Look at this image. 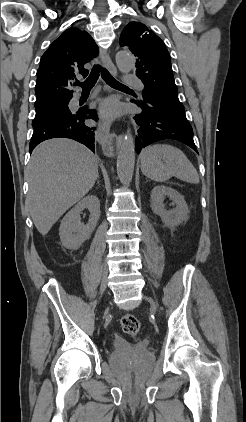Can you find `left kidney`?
Segmentation results:
<instances>
[{"instance_id":"1","label":"left kidney","mask_w":246,"mask_h":422,"mask_svg":"<svg viewBox=\"0 0 246 422\" xmlns=\"http://www.w3.org/2000/svg\"><path fill=\"white\" fill-rule=\"evenodd\" d=\"M169 197L175 208L167 210L164 199ZM151 209L154 214L160 216L162 222L167 227H175L189 218V209L184 197L175 189L165 186H155L151 191Z\"/></svg>"}]
</instances>
